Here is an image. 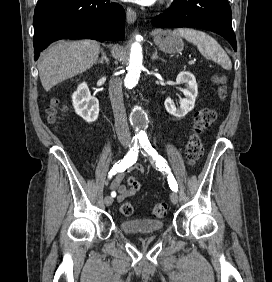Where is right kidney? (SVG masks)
Masks as SVG:
<instances>
[{"instance_id": "obj_1", "label": "right kidney", "mask_w": 272, "mask_h": 282, "mask_svg": "<svg viewBox=\"0 0 272 282\" xmlns=\"http://www.w3.org/2000/svg\"><path fill=\"white\" fill-rule=\"evenodd\" d=\"M75 112L86 122L93 123L99 115V101L91 96L85 82L81 83L72 95Z\"/></svg>"}]
</instances>
